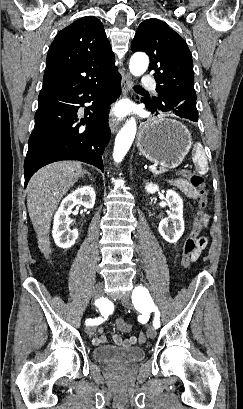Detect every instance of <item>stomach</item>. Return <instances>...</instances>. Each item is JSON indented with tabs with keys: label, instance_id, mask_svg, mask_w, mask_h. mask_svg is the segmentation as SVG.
Returning a JSON list of instances; mask_svg holds the SVG:
<instances>
[{
	"label": "stomach",
	"instance_id": "1",
	"mask_svg": "<svg viewBox=\"0 0 243 409\" xmlns=\"http://www.w3.org/2000/svg\"><path fill=\"white\" fill-rule=\"evenodd\" d=\"M191 145V133L186 126L165 116L146 121L137 138L140 153L163 168L179 166Z\"/></svg>",
	"mask_w": 243,
	"mask_h": 409
}]
</instances>
